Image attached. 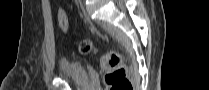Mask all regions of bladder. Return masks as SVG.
<instances>
[{
  "instance_id": "bladder-1",
  "label": "bladder",
  "mask_w": 209,
  "mask_h": 90,
  "mask_svg": "<svg viewBox=\"0 0 209 90\" xmlns=\"http://www.w3.org/2000/svg\"><path fill=\"white\" fill-rule=\"evenodd\" d=\"M58 76L78 86H90L88 69L80 62L61 59Z\"/></svg>"
}]
</instances>
